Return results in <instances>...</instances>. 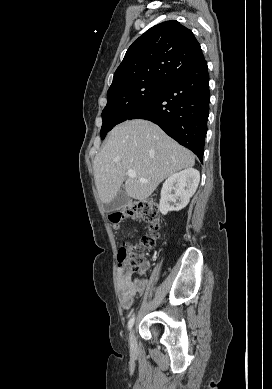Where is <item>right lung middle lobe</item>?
Segmentation results:
<instances>
[{
	"instance_id": "right-lung-middle-lobe-1",
	"label": "right lung middle lobe",
	"mask_w": 272,
	"mask_h": 389,
	"mask_svg": "<svg viewBox=\"0 0 272 389\" xmlns=\"http://www.w3.org/2000/svg\"><path fill=\"white\" fill-rule=\"evenodd\" d=\"M165 84L157 80H143L109 90L107 105L102 111L101 139L115 125L127 120L133 112L156 96Z\"/></svg>"
}]
</instances>
